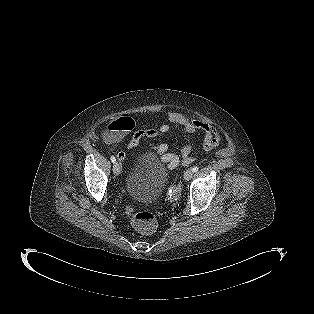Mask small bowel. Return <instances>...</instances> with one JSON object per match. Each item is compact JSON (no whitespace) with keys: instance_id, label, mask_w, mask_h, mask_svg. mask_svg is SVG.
Instances as JSON below:
<instances>
[{"instance_id":"c3829d8e","label":"small bowel","mask_w":314,"mask_h":314,"mask_svg":"<svg viewBox=\"0 0 314 314\" xmlns=\"http://www.w3.org/2000/svg\"><path fill=\"white\" fill-rule=\"evenodd\" d=\"M172 125L179 126L187 134L201 133L203 135V149L207 152L215 149L221 142L220 132L210 123L201 119L190 120L177 112H170L167 121L160 124L158 128L135 131L127 144L126 150H134L145 138L159 140L163 134L171 130ZM154 150L160 159L167 164L169 169H175L180 163L188 164L191 161L192 148L189 143L182 147L181 156L170 152L169 145L165 142H157L154 146ZM117 157L120 162H124L126 159V151L120 150Z\"/></svg>"}]
</instances>
